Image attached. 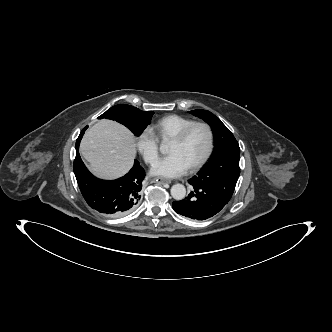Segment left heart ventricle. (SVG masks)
Returning a JSON list of instances; mask_svg holds the SVG:
<instances>
[{
    "instance_id": "b2bd125f",
    "label": "left heart ventricle",
    "mask_w": 332,
    "mask_h": 332,
    "mask_svg": "<svg viewBox=\"0 0 332 332\" xmlns=\"http://www.w3.org/2000/svg\"><path fill=\"white\" fill-rule=\"evenodd\" d=\"M207 145V130L202 126H196L182 143L171 142L168 152L169 154H178L190 166L204 154Z\"/></svg>"
}]
</instances>
